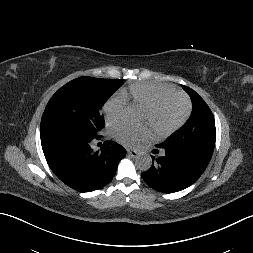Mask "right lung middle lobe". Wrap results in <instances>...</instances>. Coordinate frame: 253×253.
Wrapping results in <instances>:
<instances>
[{
  "label": "right lung middle lobe",
  "instance_id": "dd1d6c3e",
  "mask_svg": "<svg viewBox=\"0 0 253 253\" xmlns=\"http://www.w3.org/2000/svg\"><path fill=\"white\" fill-rule=\"evenodd\" d=\"M123 80L80 77L62 86L49 100L41 120L40 134L63 133L99 138L105 126L101 109L121 87Z\"/></svg>",
  "mask_w": 253,
  "mask_h": 253
}]
</instances>
